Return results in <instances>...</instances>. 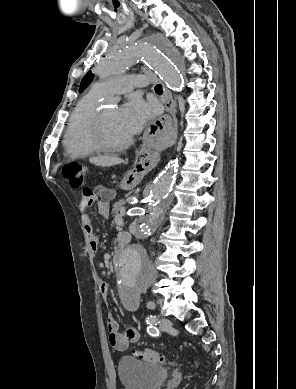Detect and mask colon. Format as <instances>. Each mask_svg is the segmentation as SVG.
<instances>
[{
	"label": "colon",
	"instance_id": "5ec220e1",
	"mask_svg": "<svg viewBox=\"0 0 296 389\" xmlns=\"http://www.w3.org/2000/svg\"><path fill=\"white\" fill-rule=\"evenodd\" d=\"M86 169L79 163H70L63 167V176L68 181L69 185L73 188H79L83 184ZM134 355L141 361L148 363H164L165 356L153 349L147 348L144 350L134 351ZM195 367H198V363L194 361Z\"/></svg>",
	"mask_w": 296,
	"mask_h": 389
}]
</instances>
